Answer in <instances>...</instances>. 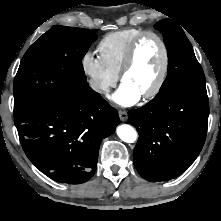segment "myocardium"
Instances as JSON below:
<instances>
[{
    "label": "myocardium",
    "mask_w": 221,
    "mask_h": 221,
    "mask_svg": "<svg viewBox=\"0 0 221 221\" xmlns=\"http://www.w3.org/2000/svg\"><path fill=\"white\" fill-rule=\"evenodd\" d=\"M148 37L156 39L158 41V43L160 44V47L162 50V64H161V69H160V72H159V75H158V78H157L155 84L153 85V87L149 91H147L145 94L142 95V98H144L146 100L155 97L161 91V89L165 83L166 77H167L170 59H169L168 47H167V44L164 41V39L158 33L154 32V31H150V30L143 31L129 45L123 65H122L121 70L119 72V78L123 82L125 75L132 68V66L134 64L136 53H137L140 43L145 38H148Z\"/></svg>",
    "instance_id": "obj_1"
}]
</instances>
